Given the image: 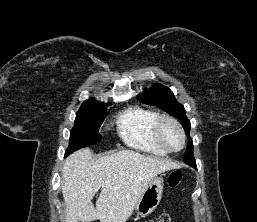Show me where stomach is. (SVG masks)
<instances>
[{
	"label": "stomach",
	"instance_id": "1",
	"mask_svg": "<svg viewBox=\"0 0 257 222\" xmlns=\"http://www.w3.org/2000/svg\"><path fill=\"white\" fill-rule=\"evenodd\" d=\"M163 193V178L154 177L145 191L142 193L140 199L135 205L137 216L145 217L151 214L159 205Z\"/></svg>",
	"mask_w": 257,
	"mask_h": 222
}]
</instances>
